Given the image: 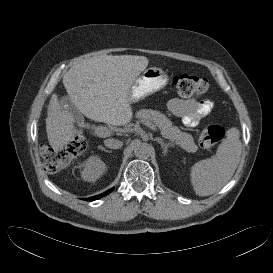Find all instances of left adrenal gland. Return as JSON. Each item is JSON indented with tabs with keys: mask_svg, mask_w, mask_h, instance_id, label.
<instances>
[{
	"mask_svg": "<svg viewBox=\"0 0 273 273\" xmlns=\"http://www.w3.org/2000/svg\"><path fill=\"white\" fill-rule=\"evenodd\" d=\"M162 147L163 149V154L166 155L167 154V151H168V148L172 146V143H165L164 140L162 138H156L155 139Z\"/></svg>",
	"mask_w": 273,
	"mask_h": 273,
	"instance_id": "obj_1",
	"label": "left adrenal gland"
}]
</instances>
